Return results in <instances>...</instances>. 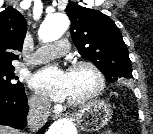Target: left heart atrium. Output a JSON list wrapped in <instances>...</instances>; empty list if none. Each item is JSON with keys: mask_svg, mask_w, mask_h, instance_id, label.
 <instances>
[{"mask_svg": "<svg viewBox=\"0 0 153 134\" xmlns=\"http://www.w3.org/2000/svg\"><path fill=\"white\" fill-rule=\"evenodd\" d=\"M31 86L55 101L67 99L69 91V75L58 67H48L33 74Z\"/></svg>", "mask_w": 153, "mask_h": 134, "instance_id": "1", "label": "left heart atrium"}]
</instances>
